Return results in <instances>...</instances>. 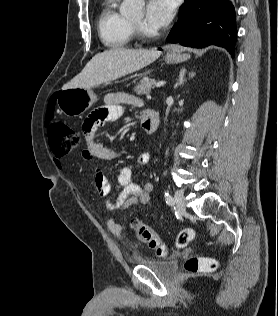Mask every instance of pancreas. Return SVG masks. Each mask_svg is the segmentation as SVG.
<instances>
[{
    "instance_id": "1",
    "label": "pancreas",
    "mask_w": 278,
    "mask_h": 316,
    "mask_svg": "<svg viewBox=\"0 0 278 316\" xmlns=\"http://www.w3.org/2000/svg\"><path fill=\"white\" fill-rule=\"evenodd\" d=\"M154 84H156V81L154 79H149L147 77H144L140 81V83L134 88V91L138 95L149 94Z\"/></svg>"
}]
</instances>
